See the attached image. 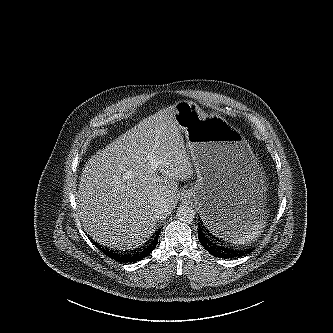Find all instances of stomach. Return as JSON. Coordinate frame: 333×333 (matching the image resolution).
I'll use <instances>...</instances> for the list:
<instances>
[{
  "label": "stomach",
  "instance_id": "obj_1",
  "mask_svg": "<svg viewBox=\"0 0 333 333\" xmlns=\"http://www.w3.org/2000/svg\"><path fill=\"white\" fill-rule=\"evenodd\" d=\"M197 174L185 196L198 205L209 229L224 241L252 235L266 221L263 170L245 136L218 114L208 116L194 102L175 105Z\"/></svg>",
  "mask_w": 333,
  "mask_h": 333
}]
</instances>
